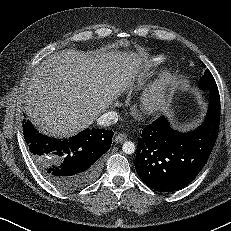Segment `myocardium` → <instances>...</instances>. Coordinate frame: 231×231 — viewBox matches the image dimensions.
I'll return each mask as SVG.
<instances>
[{
  "label": "myocardium",
  "instance_id": "obj_1",
  "mask_svg": "<svg viewBox=\"0 0 231 231\" xmlns=\"http://www.w3.org/2000/svg\"><path fill=\"white\" fill-rule=\"evenodd\" d=\"M171 84V70L165 68L142 95L141 109L146 115L155 116L165 109L168 103Z\"/></svg>",
  "mask_w": 231,
  "mask_h": 231
}]
</instances>
